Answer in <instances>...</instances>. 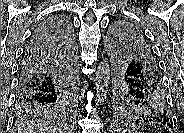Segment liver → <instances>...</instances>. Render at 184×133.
<instances>
[{"instance_id": "obj_1", "label": "liver", "mask_w": 184, "mask_h": 133, "mask_svg": "<svg viewBox=\"0 0 184 133\" xmlns=\"http://www.w3.org/2000/svg\"><path fill=\"white\" fill-rule=\"evenodd\" d=\"M21 130L25 133H59V129L46 120L29 123L23 126Z\"/></svg>"}]
</instances>
